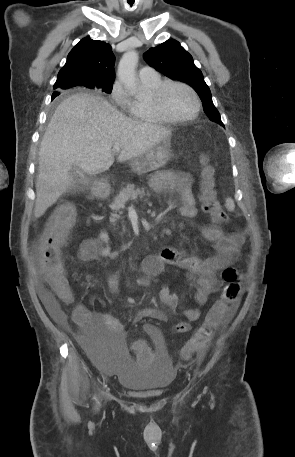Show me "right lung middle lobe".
Segmentation results:
<instances>
[{
    "mask_svg": "<svg viewBox=\"0 0 295 457\" xmlns=\"http://www.w3.org/2000/svg\"><path fill=\"white\" fill-rule=\"evenodd\" d=\"M74 86H77V84H73V85H69L68 87H74ZM101 89L102 91H104L105 93H111L112 91V88H113V84H108V85H103V86H96L94 88H91V89ZM59 94H57L58 96Z\"/></svg>",
    "mask_w": 295,
    "mask_h": 457,
    "instance_id": "dd1d6c3e",
    "label": "right lung middle lobe"
}]
</instances>
